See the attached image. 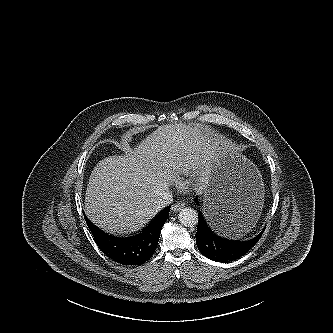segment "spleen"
Masks as SVG:
<instances>
[{
  "label": "spleen",
  "instance_id": "spleen-1",
  "mask_svg": "<svg viewBox=\"0 0 333 333\" xmlns=\"http://www.w3.org/2000/svg\"><path fill=\"white\" fill-rule=\"evenodd\" d=\"M259 216L257 215L256 209L249 211L242 218L236 219L228 225V229L223 231L222 234L230 238H240L244 233L254 227L259 219Z\"/></svg>",
  "mask_w": 333,
  "mask_h": 333
}]
</instances>
